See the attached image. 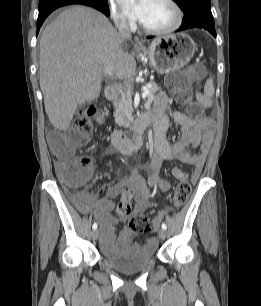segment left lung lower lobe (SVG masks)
<instances>
[{
	"label": "left lung lower lobe",
	"mask_w": 261,
	"mask_h": 306,
	"mask_svg": "<svg viewBox=\"0 0 261 306\" xmlns=\"http://www.w3.org/2000/svg\"><path fill=\"white\" fill-rule=\"evenodd\" d=\"M189 28H203L216 37L212 13L197 10L185 14L182 25L177 31L179 32Z\"/></svg>",
	"instance_id": "1"
}]
</instances>
